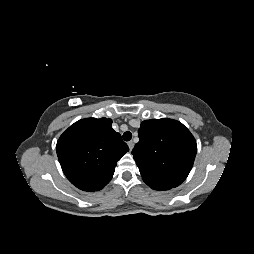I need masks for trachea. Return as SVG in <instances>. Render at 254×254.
I'll list each match as a JSON object with an SVG mask.
<instances>
[{"mask_svg":"<svg viewBox=\"0 0 254 254\" xmlns=\"http://www.w3.org/2000/svg\"><path fill=\"white\" fill-rule=\"evenodd\" d=\"M131 138H132V133H131V132L127 131V132H125V133L123 134V139H124V141H130Z\"/></svg>","mask_w":254,"mask_h":254,"instance_id":"1","label":"trachea"}]
</instances>
